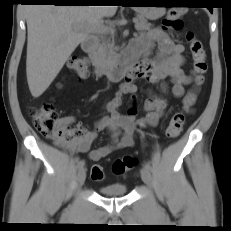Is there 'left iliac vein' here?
Instances as JSON below:
<instances>
[{"mask_svg": "<svg viewBox=\"0 0 231 231\" xmlns=\"http://www.w3.org/2000/svg\"><path fill=\"white\" fill-rule=\"evenodd\" d=\"M141 177H142L143 182L146 185L151 186V184H152V176H151V172H150V170L148 168L143 167L141 169Z\"/></svg>", "mask_w": 231, "mask_h": 231, "instance_id": "obj_1", "label": "left iliac vein"}]
</instances>
